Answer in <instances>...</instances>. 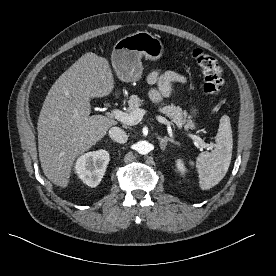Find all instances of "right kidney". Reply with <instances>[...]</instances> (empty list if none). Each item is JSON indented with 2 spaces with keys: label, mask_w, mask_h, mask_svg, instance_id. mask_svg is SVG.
<instances>
[{
  "label": "right kidney",
  "mask_w": 276,
  "mask_h": 276,
  "mask_svg": "<svg viewBox=\"0 0 276 276\" xmlns=\"http://www.w3.org/2000/svg\"><path fill=\"white\" fill-rule=\"evenodd\" d=\"M109 160V153L106 150L88 152L78 158L75 172L86 185L96 187L105 174Z\"/></svg>",
  "instance_id": "ca27d5eb"
}]
</instances>
